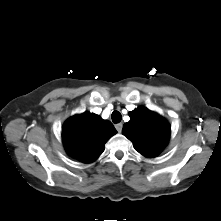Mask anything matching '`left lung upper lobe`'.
<instances>
[{
    "instance_id": "obj_1",
    "label": "left lung upper lobe",
    "mask_w": 221,
    "mask_h": 221,
    "mask_svg": "<svg viewBox=\"0 0 221 221\" xmlns=\"http://www.w3.org/2000/svg\"><path fill=\"white\" fill-rule=\"evenodd\" d=\"M129 116L130 121L123 125V134L140 154L148 158L156 157L169 141V123L145 107H138Z\"/></svg>"
}]
</instances>
